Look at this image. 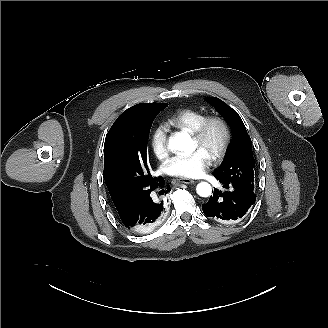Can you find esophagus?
Returning <instances> with one entry per match:
<instances>
[{
	"label": "esophagus",
	"instance_id": "esophagus-1",
	"mask_svg": "<svg viewBox=\"0 0 328 328\" xmlns=\"http://www.w3.org/2000/svg\"><path fill=\"white\" fill-rule=\"evenodd\" d=\"M179 183H194L195 181L190 178H179L177 179Z\"/></svg>",
	"mask_w": 328,
	"mask_h": 328
}]
</instances>
